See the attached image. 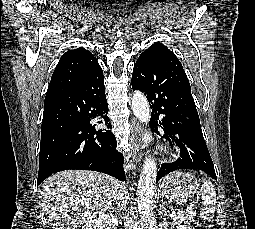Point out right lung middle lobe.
Returning a JSON list of instances; mask_svg holds the SVG:
<instances>
[{"label":"right lung middle lobe","mask_w":255,"mask_h":229,"mask_svg":"<svg viewBox=\"0 0 255 229\" xmlns=\"http://www.w3.org/2000/svg\"><path fill=\"white\" fill-rule=\"evenodd\" d=\"M67 120L60 119L41 130L39 166L49 168L56 158L66 133Z\"/></svg>","instance_id":"1"}]
</instances>
